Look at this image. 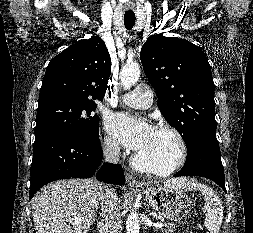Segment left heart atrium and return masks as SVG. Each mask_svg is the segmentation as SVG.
<instances>
[{
    "instance_id": "1",
    "label": "left heart atrium",
    "mask_w": 253,
    "mask_h": 233,
    "mask_svg": "<svg viewBox=\"0 0 253 233\" xmlns=\"http://www.w3.org/2000/svg\"><path fill=\"white\" fill-rule=\"evenodd\" d=\"M106 126L122 144L134 151H139L146 144L153 130L148 123L124 113L109 115Z\"/></svg>"
}]
</instances>
